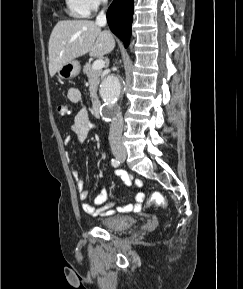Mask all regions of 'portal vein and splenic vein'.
Listing matches in <instances>:
<instances>
[{
  "mask_svg": "<svg viewBox=\"0 0 243 289\" xmlns=\"http://www.w3.org/2000/svg\"><path fill=\"white\" fill-rule=\"evenodd\" d=\"M105 65V62L103 59H97L94 61L92 68L93 69H102Z\"/></svg>",
  "mask_w": 243,
  "mask_h": 289,
  "instance_id": "obj_1",
  "label": "portal vein and splenic vein"
}]
</instances>
